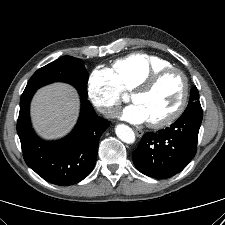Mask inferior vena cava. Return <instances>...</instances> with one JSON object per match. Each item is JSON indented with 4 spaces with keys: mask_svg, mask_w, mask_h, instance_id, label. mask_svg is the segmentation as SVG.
Masks as SVG:
<instances>
[{
    "mask_svg": "<svg viewBox=\"0 0 225 225\" xmlns=\"http://www.w3.org/2000/svg\"><path fill=\"white\" fill-rule=\"evenodd\" d=\"M116 111H117V108H115V107H108V108L103 109L102 113L104 115H106L107 117H113L115 115Z\"/></svg>",
    "mask_w": 225,
    "mask_h": 225,
    "instance_id": "obj_1",
    "label": "inferior vena cava"
}]
</instances>
